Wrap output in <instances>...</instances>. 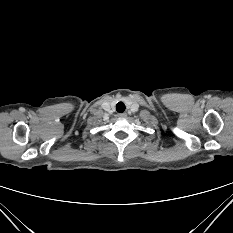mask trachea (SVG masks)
Returning <instances> with one entry per match:
<instances>
[{"instance_id":"1","label":"trachea","mask_w":233,"mask_h":233,"mask_svg":"<svg viewBox=\"0 0 233 233\" xmlns=\"http://www.w3.org/2000/svg\"><path fill=\"white\" fill-rule=\"evenodd\" d=\"M116 110L119 113H123L125 111V104L123 102H118L116 105Z\"/></svg>"}]
</instances>
